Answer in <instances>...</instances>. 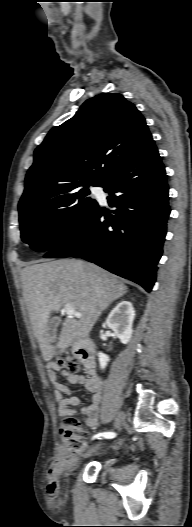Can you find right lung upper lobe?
Segmentation results:
<instances>
[{
    "label": "right lung upper lobe",
    "instance_id": "obj_1",
    "mask_svg": "<svg viewBox=\"0 0 192 527\" xmlns=\"http://www.w3.org/2000/svg\"><path fill=\"white\" fill-rule=\"evenodd\" d=\"M151 140L144 117L121 94L88 99L36 148L19 206L82 184L101 186Z\"/></svg>",
    "mask_w": 192,
    "mask_h": 527
}]
</instances>
